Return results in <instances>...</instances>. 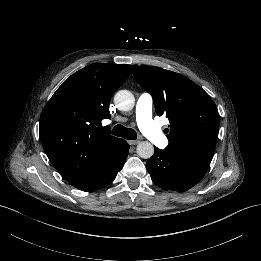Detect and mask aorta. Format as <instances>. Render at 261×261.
Instances as JSON below:
<instances>
[{
    "instance_id": "762f6f07",
    "label": "aorta",
    "mask_w": 261,
    "mask_h": 261,
    "mask_svg": "<svg viewBox=\"0 0 261 261\" xmlns=\"http://www.w3.org/2000/svg\"><path fill=\"white\" fill-rule=\"evenodd\" d=\"M113 102L122 111L131 110L135 103L132 92L126 89L119 90L115 93ZM137 154L143 159H149L154 154V147L151 143L145 141L137 146Z\"/></svg>"
}]
</instances>
